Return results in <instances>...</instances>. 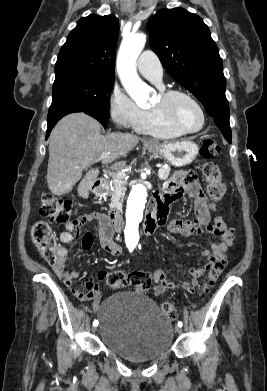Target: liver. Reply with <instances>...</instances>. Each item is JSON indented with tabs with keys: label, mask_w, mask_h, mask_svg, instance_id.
I'll return each mask as SVG.
<instances>
[{
	"label": "liver",
	"mask_w": 267,
	"mask_h": 391,
	"mask_svg": "<svg viewBox=\"0 0 267 391\" xmlns=\"http://www.w3.org/2000/svg\"><path fill=\"white\" fill-rule=\"evenodd\" d=\"M49 159L47 184L55 195L72 190L81 179L83 169L103 153L104 164L125 157L139 142L138 136L127 133L101 135V125L94 118L80 112L62 118L54 127L49 138ZM126 161L111 165L114 170L125 168ZM99 169L89 170L78 186L79 194L87 198L89 190L97 180Z\"/></svg>",
	"instance_id": "6515ba94"
}]
</instances>
